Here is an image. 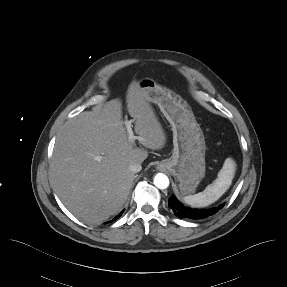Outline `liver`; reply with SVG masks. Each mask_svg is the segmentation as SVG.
Segmentation results:
<instances>
[{"label":"liver","mask_w":287,"mask_h":287,"mask_svg":"<svg viewBox=\"0 0 287 287\" xmlns=\"http://www.w3.org/2000/svg\"><path fill=\"white\" fill-rule=\"evenodd\" d=\"M126 102L139 143L152 150L163 148L164 130L135 80L128 87ZM147 156V150L129 141L122 104L112 100L65 123L55 142L51 181L74 216L101 223L121 210L135 178L129 167Z\"/></svg>","instance_id":"liver-1"}]
</instances>
